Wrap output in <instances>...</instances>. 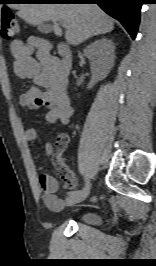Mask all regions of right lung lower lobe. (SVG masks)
<instances>
[{
	"mask_svg": "<svg viewBox=\"0 0 156 266\" xmlns=\"http://www.w3.org/2000/svg\"><path fill=\"white\" fill-rule=\"evenodd\" d=\"M59 4H98L107 14L114 17L135 39L140 21V10L144 0H46Z\"/></svg>",
	"mask_w": 156,
	"mask_h": 266,
	"instance_id": "right-lung-lower-lobe-1",
	"label": "right lung lower lobe"
}]
</instances>
